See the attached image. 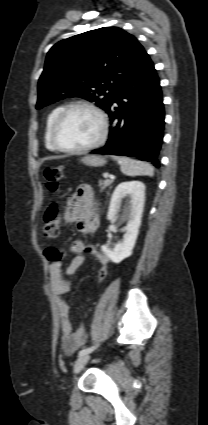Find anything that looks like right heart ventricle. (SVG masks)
<instances>
[{
    "instance_id": "obj_1",
    "label": "right heart ventricle",
    "mask_w": 208,
    "mask_h": 425,
    "mask_svg": "<svg viewBox=\"0 0 208 425\" xmlns=\"http://www.w3.org/2000/svg\"><path fill=\"white\" fill-rule=\"evenodd\" d=\"M62 109L61 106H57L55 107L47 116L46 119V123H45V128H44V141H45V145L47 147V149L51 150V151H55L56 149L53 147L52 143H51V139H50V132H51V126L52 123L54 121V119L56 118L57 114L60 112V110Z\"/></svg>"
}]
</instances>
